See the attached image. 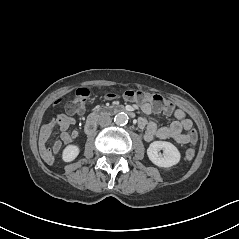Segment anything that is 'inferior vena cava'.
I'll return each mask as SVG.
<instances>
[{"label": "inferior vena cava", "mask_w": 239, "mask_h": 239, "mask_svg": "<svg viewBox=\"0 0 239 239\" xmlns=\"http://www.w3.org/2000/svg\"><path fill=\"white\" fill-rule=\"evenodd\" d=\"M112 122V118L109 115H103L99 118L98 123L102 127L109 126Z\"/></svg>", "instance_id": "602c4592"}]
</instances>
